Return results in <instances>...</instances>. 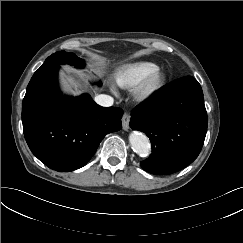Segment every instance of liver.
<instances>
[{"label": "liver", "instance_id": "1", "mask_svg": "<svg viewBox=\"0 0 243 243\" xmlns=\"http://www.w3.org/2000/svg\"><path fill=\"white\" fill-rule=\"evenodd\" d=\"M61 84L63 86V90H78L80 89H87V86L81 83L79 80L75 79L72 76H65L61 79Z\"/></svg>", "mask_w": 243, "mask_h": 243}]
</instances>
